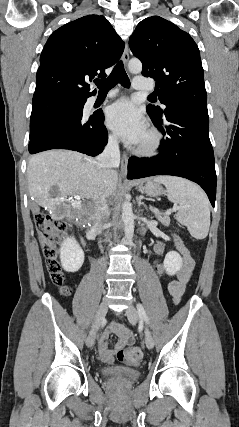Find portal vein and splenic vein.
Masks as SVG:
<instances>
[{
  "label": "portal vein and splenic vein",
  "mask_w": 239,
  "mask_h": 427,
  "mask_svg": "<svg viewBox=\"0 0 239 427\" xmlns=\"http://www.w3.org/2000/svg\"><path fill=\"white\" fill-rule=\"evenodd\" d=\"M178 209H179V207H178V206H174L172 210L176 211V210H178ZM172 210H168V211L166 212V214H167V215H169V214L171 213V211H172Z\"/></svg>",
  "instance_id": "18ae733b"
}]
</instances>
